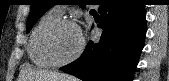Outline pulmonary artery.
<instances>
[{
	"label": "pulmonary artery",
	"mask_w": 169,
	"mask_h": 81,
	"mask_svg": "<svg viewBox=\"0 0 169 81\" xmlns=\"http://www.w3.org/2000/svg\"><path fill=\"white\" fill-rule=\"evenodd\" d=\"M53 11H55V12H56L57 14H59V15H62V14H63L62 9L59 8V7L54 8Z\"/></svg>",
	"instance_id": "pulmonary-artery-1"
}]
</instances>
